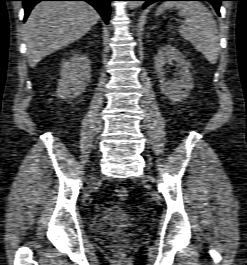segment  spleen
<instances>
[{"instance_id":"obj_1","label":"spleen","mask_w":247,"mask_h":265,"mask_svg":"<svg viewBox=\"0 0 247 265\" xmlns=\"http://www.w3.org/2000/svg\"><path fill=\"white\" fill-rule=\"evenodd\" d=\"M173 7L185 19L184 24L178 27L179 34L201 52L209 63L215 64L219 55L220 37L211 12L198 1H167L158 7L156 15Z\"/></svg>"}]
</instances>
